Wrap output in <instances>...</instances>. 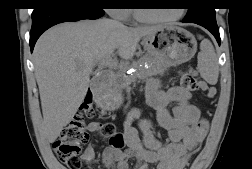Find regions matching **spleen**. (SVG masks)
Returning <instances> with one entry per match:
<instances>
[{"mask_svg":"<svg viewBox=\"0 0 252 169\" xmlns=\"http://www.w3.org/2000/svg\"><path fill=\"white\" fill-rule=\"evenodd\" d=\"M197 58L200 76L210 85H215L218 81L219 66L215 49L209 40L201 41Z\"/></svg>","mask_w":252,"mask_h":169,"instance_id":"3e777b00","label":"spleen"}]
</instances>
